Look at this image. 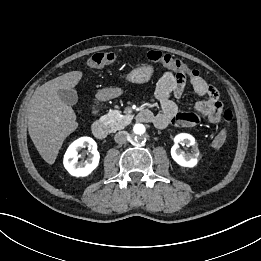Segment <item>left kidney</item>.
<instances>
[{
	"label": "left kidney",
	"instance_id": "5707ae66",
	"mask_svg": "<svg viewBox=\"0 0 261 261\" xmlns=\"http://www.w3.org/2000/svg\"><path fill=\"white\" fill-rule=\"evenodd\" d=\"M175 145L171 148V156L173 160L183 167L192 168L197 165L198 157L200 155L199 149L195 143V139L190 134H178L174 138ZM184 142L193 147V152L191 154H187L181 151L178 147V143Z\"/></svg>",
	"mask_w": 261,
	"mask_h": 261
}]
</instances>
